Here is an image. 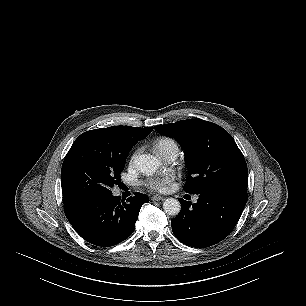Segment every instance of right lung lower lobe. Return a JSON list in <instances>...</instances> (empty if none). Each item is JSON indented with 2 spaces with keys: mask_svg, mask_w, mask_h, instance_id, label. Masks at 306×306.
Here are the masks:
<instances>
[{
  "mask_svg": "<svg viewBox=\"0 0 306 306\" xmlns=\"http://www.w3.org/2000/svg\"><path fill=\"white\" fill-rule=\"evenodd\" d=\"M142 193L122 202L112 193L87 199L65 208V215L78 234L91 244L110 247L127 239L135 229L142 204Z\"/></svg>",
  "mask_w": 306,
  "mask_h": 306,
  "instance_id": "98d812e1",
  "label": "right lung lower lobe"
}]
</instances>
